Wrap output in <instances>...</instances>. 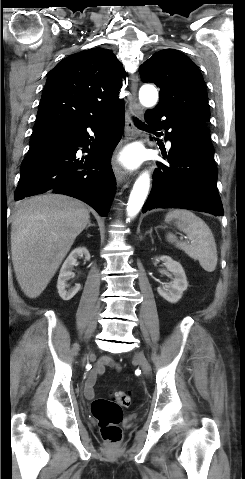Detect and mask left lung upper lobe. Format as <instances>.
Instances as JSON below:
<instances>
[{"label": "left lung upper lobe", "mask_w": 245, "mask_h": 479, "mask_svg": "<svg viewBox=\"0 0 245 479\" xmlns=\"http://www.w3.org/2000/svg\"><path fill=\"white\" fill-rule=\"evenodd\" d=\"M144 82L160 88L159 109L174 119L210 118L204 80L190 58L174 49L158 51L140 67Z\"/></svg>", "instance_id": "1"}]
</instances>
